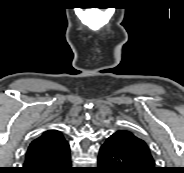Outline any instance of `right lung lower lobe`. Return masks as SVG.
Masks as SVG:
<instances>
[{"instance_id":"obj_1","label":"right lung lower lobe","mask_w":184,"mask_h":173,"mask_svg":"<svg viewBox=\"0 0 184 173\" xmlns=\"http://www.w3.org/2000/svg\"><path fill=\"white\" fill-rule=\"evenodd\" d=\"M19 173H76L71 166L70 147L52 156L26 160Z\"/></svg>"}]
</instances>
